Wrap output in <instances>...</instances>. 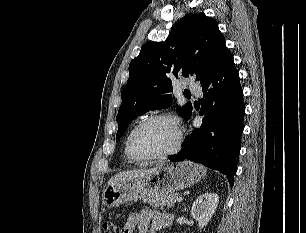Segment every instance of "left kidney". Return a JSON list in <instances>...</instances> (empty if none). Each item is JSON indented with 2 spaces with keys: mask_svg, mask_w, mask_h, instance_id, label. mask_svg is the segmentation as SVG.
<instances>
[{
  "mask_svg": "<svg viewBox=\"0 0 306 233\" xmlns=\"http://www.w3.org/2000/svg\"><path fill=\"white\" fill-rule=\"evenodd\" d=\"M219 196L216 193H205L199 196L193 203L191 215L198 221V227L201 230L204 228L218 206Z\"/></svg>",
  "mask_w": 306,
  "mask_h": 233,
  "instance_id": "obj_1",
  "label": "left kidney"
}]
</instances>
